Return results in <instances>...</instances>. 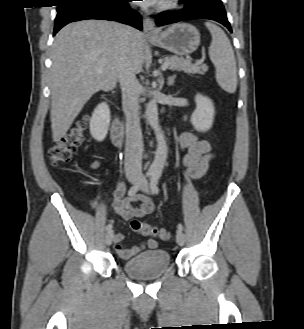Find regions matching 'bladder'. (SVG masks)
I'll list each match as a JSON object with an SVG mask.
<instances>
[{"instance_id": "bladder-1", "label": "bladder", "mask_w": 304, "mask_h": 329, "mask_svg": "<svg viewBox=\"0 0 304 329\" xmlns=\"http://www.w3.org/2000/svg\"><path fill=\"white\" fill-rule=\"evenodd\" d=\"M171 257L162 249H151L125 260L122 268L126 274L137 279L161 276L170 266Z\"/></svg>"}]
</instances>
